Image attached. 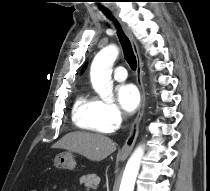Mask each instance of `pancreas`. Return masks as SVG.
<instances>
[{"mask_svg": "<svg viewBox=\"0 0 210 191\" xmlns=\"http://www.w3.org/2000/svg\"><path fill=\"white\" fill-rule=\"evenodd\" d=\"M80 183L84 184L87 190L89 189L96 190L100 183V178L96 176L95 174H88L80 178Z\"/></svg>", "mask_w": 210, "mask_h": 191, "instance_id": "pancreas-1", "label": "pancreas"}]
</instances>
